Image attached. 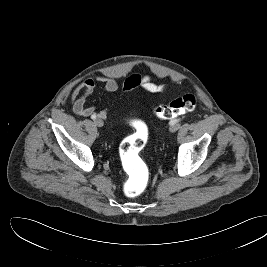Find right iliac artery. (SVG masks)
Here are the masks:
<instances>
[{"label":"right iliac artery","instance_id":"82829eb1","mask_svg":"<svg viewBox=\"0 0 267 267\" xmlns=\"http://www.w3.org/2000/svg\"><path fill=\"white\" fill-rule=\"evenodd\" d=\"M91 119H92V120H95V119H96V116H95V115H92V116H91Z\"/></svg>","mask_w":267,"mask_h":267}]
</instances>
